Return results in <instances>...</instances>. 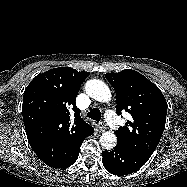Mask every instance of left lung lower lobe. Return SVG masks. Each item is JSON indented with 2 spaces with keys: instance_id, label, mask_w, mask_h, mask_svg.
I'll return each mask as SVG.
<instances>
[{
  "instance_id": "obj_1",
  "label": "left lung lower lobe",
  "mask_w": 187,
  "mask_h": 187,
  "mask_svg": "<svg viewBox=\"0 0 187 187\" xmlns=\"http://www.w3.org/2000/svg\"><path fill=\"white\" fill-rule=\"evenodd\" d=\"M102 162L108 172L127 175L141 168L150 157L133 153L117 143L113 150L102 151Z\"/></svg>"
}]
</instances>
